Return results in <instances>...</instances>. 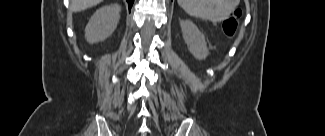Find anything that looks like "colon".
Returning <instances> with one entry per match:
<instances>
[{"label": "colon", "mask_w": 325, "mask_h": 136, "mask_svg": "<svg viewBox=\"0 0 325 136\" xmlns=\"http://www.w3.org/2000/svg\"><path fill=\"white\" fill-rule=\"evenodd\" d=\"M241 15V11L239 9H237L235 12H234V15L227 19L224 24H223V27H224V31L227 33V34H234L235 31L237 30V27H238V20L237 18Z\"/></svg>", "instance_id": "obj_1"}]
</instances>
